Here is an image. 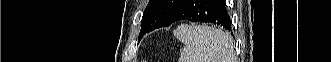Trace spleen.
Instances as JSON below:
<instances>
[{
    "label": "spleen",
    "instance_id": "1",
    "mask_svg": "<svg viewBox=\"0 0 331 62\" xmlns=\"http://www.w3.org/2000/svg\"><path fill=\"white\" fill-rule=\"evenodd\" d=\"M173 34L185 45L179 62H235L232 37L227 32L206 25L181 24Z\"/></svg>",
    "mask_w": 331,
    "mask_h": 62
}]
</instances>
